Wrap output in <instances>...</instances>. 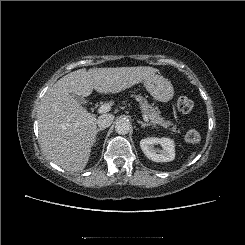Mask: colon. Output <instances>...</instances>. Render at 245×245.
I'll return each instance as SVG.
<instances>
[{"mask_svg": "<svg viewBox=\"0 0 245 245\" xmlns=\"http://www.w3.org/2000/svg\"><path fill=\"white\" fill-rule=\"evenodd\" d=\"M178 109L183 113H190L193 110V102L187 96L182 95L178 99ZM185 139L189 143H197L200 141V133L196 129H190L185 135Z\"/></svg>", "mask_w": 245, "mask_h": 245, "instance_id": "1", "label": "colon"}]
</instances>
